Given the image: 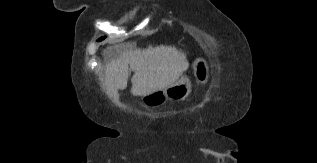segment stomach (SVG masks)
<instances>
[{
  "label": "stomach",
  "instance_id": "stomach-1",
  "mask_svg": "<svg viewBox=\"0 0 317 163\" xmlns=\"http://www.w3.org/2000/svg\"><path fill=\"white\" fill-rule=\"evenodd\" d=\"M194 75L196 79L205 84L209 79V67L203 58L197 59L194 64ZM191 92V82L187 77H181L173 85L163 90L155 91L141 97L146 107H156L164 104L168 99L174 101L185 100Z\"/></svg>",
  "mask_w": 317,
  "mask_h": 163
}]
</instances>
